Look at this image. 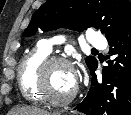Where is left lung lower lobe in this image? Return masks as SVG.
<instances>
[{"instance_id":"obj_1","label":"left lung lower lobe","mask_w":131,"mask_h":115,"mask_svg":"<svg viewBox=\"0 0 131 115\" xmlns=\"http://www.w3.org/2000/svg\"><path fill=\"white\" fill-rule=\"evenodd\" d=\"M116 58L103 67L97 82L95 65L91 70L93 87L74 110L86 115H131V18L108 39Z\"/></svg>"}]
</instances>
